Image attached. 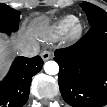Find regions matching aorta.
Here are the masks:
<instances>
[{
	"instance_id": "762f6f07",
	"label": "aorta",
	"mask_w": 107,
	"mask_h": 107,
	"mask_svg": "<svg viewBox=\"0 0 107 107\" xmlns=\"http://www.w3.org/2000/svg\"><path fill=\"white\" fill-rule=\"evenodd\" d=\"M44 70L49 75H56L59 72V66L55 61H47L44 64Z\"/></svg>"
}]
</instances>
